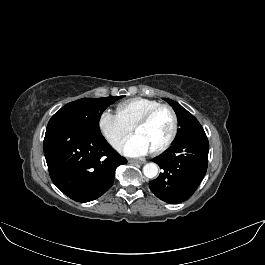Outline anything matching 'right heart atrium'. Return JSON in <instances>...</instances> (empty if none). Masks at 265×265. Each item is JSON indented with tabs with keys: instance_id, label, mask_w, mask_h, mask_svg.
Segmentation results:
<instances>
[{
	"instance_id": "obj_1",
	"label": "right heart atrium",
	"mask_w": 265,
	"mask_h": 265,
	"mask_svg": "<svg viewBox=\"0 0 265 265\" xmlns=\"http://www.w3.org/2000/svg\"><path fill=\"white\" fill-rule=\"evenodd\" d=\"M99 128L108 143L119 150L127 137L132 132V127L127 125L117 113L105 110L99 117Z\"/></svg>"
}]
</instances>
